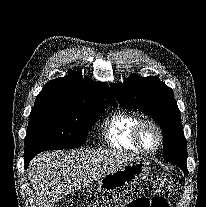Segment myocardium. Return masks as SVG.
Wrapping results in <instances>:
<instances>
[{
  "label": "myocardium",
  "mask_w": 206,
  "mask_h": 207,
  "mask_svg": "<svg viewBox=\"0 0 206 207\" xmlns=\"http://www.w3.org/2000/svg\"><path fill=\"white\" fill-rule=\"evenodd\" d=\"M144 125H151L156 131H157V134H158V137H159V141H158V144L155 148L153 149H147L141 142V139H140V131H141V128L144 126ZM132 139H133V142L135 144V146L142 152V153H145V154H154L156 152H158L161 147L163 146V143H164V133H163V130L161 128V126L154 120L152 119H140L136 125L134 126L133 128V131H132Z\"/></svg>",
  "instance_id": "myocardium-1"
}]
</instances>
